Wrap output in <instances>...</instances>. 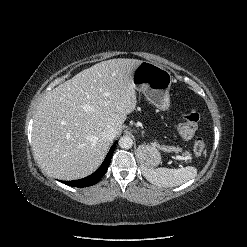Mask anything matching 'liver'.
<instances>
[{"label": "liver", "mask_w": 247, "mask_h": 247, "mask_svg": "<svg viewBox=\"0 0 247 247\" xmlns=\"http://www.w3.org/2000/svg\"><path fill=\"white\" fill-rule=\"evenodd\" d=\"M141 62L102 61L42 98L32 129L33 152L41 169L57 179L75 180L100 166L110 147L102 132L111 127L120 134L136 108L132 75Z\"/></svg>", "instance_id": "liver-1"}]
</instances>
